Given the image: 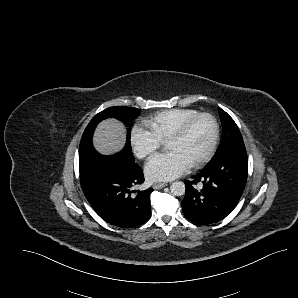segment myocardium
Listing matches in <instances>:
<instances>
[{
  "label": "myocardium",
  "mask_w": 298,
  "mask_h": 298,
  "mask_svg": "<svg viewBox=\"0 0 298 298\" xmlns=\"http://www.w3.org/2000/svg\"><path fill=\"white\" fill-rule=\"evenodd\" d=\"M205 118L209 121L210 124V138L207 143L205 150L189 165L190 168H193L203 162L208 158L212 152L216 137H217V125L214 118L207 113H199L196 116L189 118L181 122L174 130H172L164 139V145L167 148L170 142L179 136H181L185 131H187L194 123L198 120Z\"/></svg>",
  "instance_id": "obj_1"
}]
</instances>
